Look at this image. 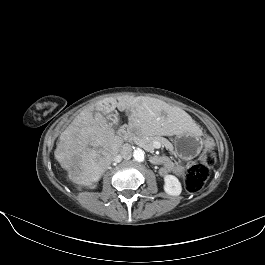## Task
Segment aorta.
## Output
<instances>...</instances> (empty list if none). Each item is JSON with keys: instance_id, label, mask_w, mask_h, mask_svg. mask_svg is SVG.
<instances>
[{"instance_id": "aorta-1", "label": "aorta", "mask_w": 265, "mask_h": 265, "mask_svg": "<svg viewBox=\"0 0 265 265\" xmlns=\"http://www.w3.org/2000/svg\"><path fill=\"white\" fill-rule=\"evenodd\" d=\"M133 157L138 162H143L145 159L144 151L140 148H137L133 151Z\"/></svg>"}]
</instances>
